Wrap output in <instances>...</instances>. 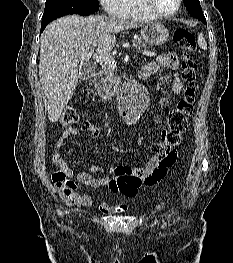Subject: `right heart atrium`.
I'll list each match as a JSON object with an SVG mask.
<instances>
[{
	"mask_svg": "<svg viewBox=\"0 0 233 263\" xmlns=\"http://www.w3.org/2000/svg\"><path fill=\"white\" fill-rule=\"evenodd\" d=\"M103 8L110 14H114L120 0H99Z\"/></svg>",
	"mask_w": 233,
	"mask_h": 263,
	"instance_id": "obj_1",
	"label": "right heart atrium"
}]
</instances>
